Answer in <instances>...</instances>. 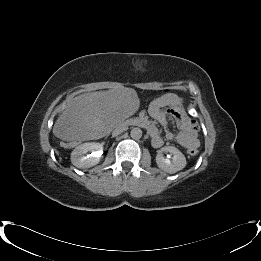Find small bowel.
I'll use <instances>...</instances> for the list:
<instances>
[{"label":"small bowel","instance_id":"small-bowel-1","mask_svg":"<svg viewBox=\"0 0 261 261\" xmlns=\"http://www.w3.org/2000/svg\"><path fill=\"white\" fill-rule=\"evenodd\" d=\"M148 111L150 117L162 125H167L170 118L177 122L181 131L177 134L170 131L166 132L165 138L167 140H175L185 148L199 146L197 128L191 119L186 116L178 96L166 93L154 100L149 106ZM137 123L147 128L154 146L160 147L163 144V139L159 135L155 125L143 117H138Z\"/></svg>","mask_w":261,"mask_h":261}]
</instances>
